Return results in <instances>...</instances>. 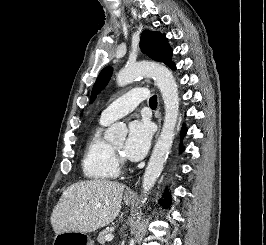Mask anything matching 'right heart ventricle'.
I'll use <instances>...</instances> for the list:
<instances>
[{"label":"right heart ventricle","mask_w":266,"mask_h":245,"mask_svg":"<svg viewBox=\"0 0 266 245\" xmlns=\"http://www.w3.org/2000/svg\"><path fill=\"white\" fill-rule=\"evenodd\" d=\"M107 124L99 121L90 131L82 156L81 165L84 177L97 183L113 181L120 174L111 145L101 135L102 128Z\"/></svg>","instance_id":"right-heart-ventricle-1"}]
</instances>
